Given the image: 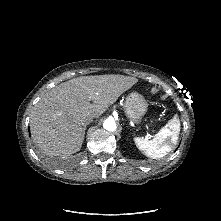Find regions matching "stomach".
Segmentation results:
<instances>
[{
	"instance_id": "obj_1",
	"label": "stomach",
	"mask_w": 221,
	"mask_h": 221,
	"mask_svg": "<svg viewBox=\"0 0 221 221\" xmlns=\"http://www.w3.org/2000/svg\"><path fill=\"white\" fill-rule=\"evenodd\" d=\"M147 107L148 104L141 94L131 92L126 97L124 112L128 120L134 122L135 124H140L147 112Z\"/></svg>"
}]
</instances>
